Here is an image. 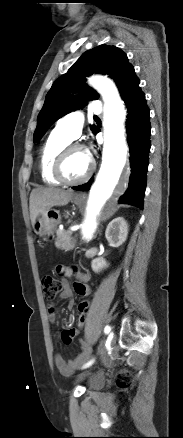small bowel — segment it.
<instances>
[{"instance_id": "obj_1", "label": "small bowel", "mask_w": 183, "mask_h": 438, "mask_svg": "<svg viewBox=\"0 0 183 438\" xmlns=\"http://www.w3.org/2000/svg\"><path fill=\"white\" fill-rule=\"evenodd\" d=\"M55 272L62 277L61 278L62 291L59 294L60 299H71L75 294L81 297H86L90 294L91 288L87 284L90 280L88 274L79 271L75 267L66 266V265H57L55 268ZM72 276L76 277L78 281L75 282L73 286H70L67 278ZM69 307L70 308L74 307L73 301H70ZM48 317L52 323L55 322L56 313L53 308L49 309ZM77 334H78L77 329L68 328L62 332L61 337L65 344H69L77 336ZM90 358H91V352L89 350H84L77 357H75L73 360H70L68 362L63 358L61 354H56L54 357V362L58 370L61 372V374L65 376H69L73 374L76 371V369H78L83 364H85Z\"/></svg>"}]
</instances>
